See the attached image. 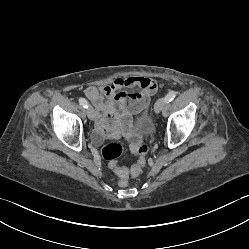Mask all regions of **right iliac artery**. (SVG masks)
Segmentation results:
<instances>
[{
	"label": "right iliac artery",
	"instance_id": "82829eb1",
	"mask_svg": "<svg viewBox=\"0 0 249 249\" xmlns=\"http://www.w3.org/2000/svg\"><path fill=\"white\" fill-rule=\"evenodd\" d=\"M79 103H80V105L83 106L84 108H88V102H87V100H86L85 98L80 97V98H79Z\"/></svg>",
	"mask_w": 249,
	"mask_h": 249
}]
</instances>
